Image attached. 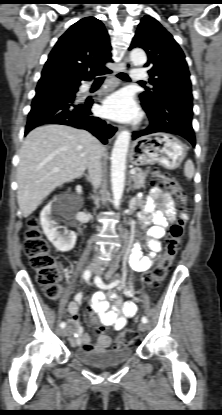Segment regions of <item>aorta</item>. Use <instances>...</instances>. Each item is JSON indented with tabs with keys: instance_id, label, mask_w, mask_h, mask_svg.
Returning <instances> with one entry per match:
<instances>
[{
	"instance_id": "1",
	"label": "aorta",
	"mask_w": 222,
	"mask_h": 415,
	"mask_svg": "<svg viewBox=\"0 0 222 415\" xmlns=\"http://www.w3.org/2000/svg\"><path fill=\"white\" fill-rule=\"evenodd\" d=\"M130 59L136 66L146 63V54L142 49H133ZM131 135L124 130L119 133L111 155V186L113 193V204L115 208L120 206L125 184L126 156L128 152Z\"/></svg>"
}]
</instances>
